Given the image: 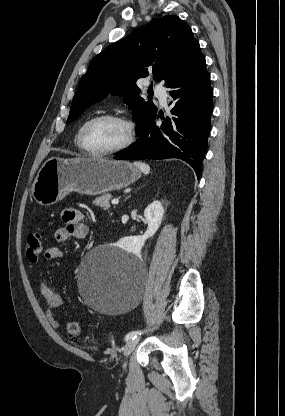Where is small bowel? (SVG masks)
Segmentation results:
<instances>
[{
    "label": "small bowel",
    "instance_id": "obj_1",
    "mask_svg": "<svg viewBox=\"0 0 285 416\" xmlns=\"http://www.w3.org/2000/svg\"><path fill=\"white\" fill-rule=\"evenodd\" d=\"M85 214L77 209L67 208L62 212L64 226L58 228L54 233L57 242H64L71 238L83 239L88 234V226L85 224ZM63 256L60 246L52 245L47 248L45 257L49 260H56ZM40 293L46 304V317L50 326L54 329L59 328L56 318V309L62 304V297L47 283L40 284Z\"/></svg>",
    "mask_w": 285,
    "mask_h": 416
}]
</instances>
